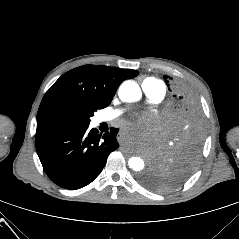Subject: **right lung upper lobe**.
<instances>
[{
	"label": "right lung upper lobe",
	"instance_id": "right-lung-upper-lobe-1",
	"mask_svg": "<svg viewBox=\"0 0 239 239\" xmlns=\"http://www.w3.org/2000/svg\"><path fill=\"white\" fill-rule=\"evenodd\" d=\"M136 70L84 65L63 74L44 95L35 138L81 126L93 112L110 105L121 82Z\"/></svg>",
	"mask_w": 239,
	"mask_h": 239
}]
</instances>
